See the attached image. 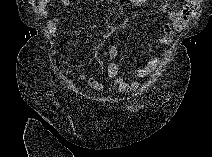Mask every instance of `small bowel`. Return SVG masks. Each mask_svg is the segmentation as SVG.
<instances>
[{"label":"small bowel","instance_id":"small-bowel-1","mask_svg":"<svg viewBox=\"0 0 212 157\" xmlns=\"http://www.w3.org/2000/svg\"><path fill=\"white\" fill-rule=\"evenodd\" d=\"M64 7L70 5L71 0H60ZM51 4L50 0H41L38 4V15L41 18L48 16L47 7ZM197 10V3L194 1H187L182 6L169 12L167 21L163 24L165 35L158 38L156 43L162 46H169L175 40L177 32L182 30L187 22L194 16ZM59 19L56 17L51 18L47 23V28L51 36L55 37L58 32ZM68 35L71 36L70 50L76 56H81V52L76 48L74 38L89 33L88 30L82 29H67ZM117 50L115 46H112L109 51L110 63L107 66V77L112 80L113 91H126L128 89L137 88L139 86L137 81H128L119 77V66L112 60L116 56ZM167 55H160L150 59L145 65L135 69V77L137 79H144L152 75L157 69L167 61ZM77 80L85 82L92 90H102L104 84L88 75L82 74L77 76Z\"/></svg>","mask_w":212,"mask_h":157}]
</instances>
